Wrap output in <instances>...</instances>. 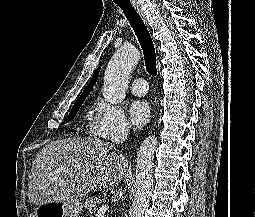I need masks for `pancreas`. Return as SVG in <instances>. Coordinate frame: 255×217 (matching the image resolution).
<instances>
[{"instance_id":"pancreas-1","label":"pancreas","mask_w":255,"mask_h":217,"mask_svg":"<svg viewBox=\"0 0 255 217\" xmlns=\"http://www.w3.org/2000/svg\"><path fill=\"white\" fill-rule=\"evenodd\" d=\"M102 200L97 198L96 196H90L89 199L85 201V208L92 214L95 213L99 204H101Z\"/></svg>"}]
</instances>
